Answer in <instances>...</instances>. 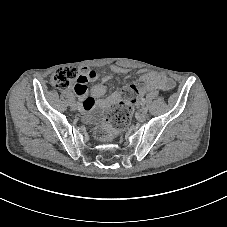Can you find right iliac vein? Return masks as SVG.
I'll return each mask as SVG.
<instances>
[{"label":"right iliac vein","instance_id":"1","mask_svg":"<svg viewBox=\"0 0 227 227\" xmlns=\"http://www.w3.org/2000/svg\"><path fill=\"white\" fill-rule=\"evenodd\" d=\"M71 108H72L73 110H76V104L73 103V104L71 105Z\"/></svg>","mask_w":227,"mask_h":227}]
</instances>
